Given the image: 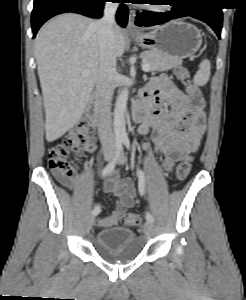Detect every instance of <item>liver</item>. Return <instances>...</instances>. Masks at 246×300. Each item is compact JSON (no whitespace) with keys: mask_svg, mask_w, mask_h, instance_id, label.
<instances>
[{"mask_svg":"<svg viewBox=\"0 0 246 300\" xmlns=\"http://www.w3.org/2000/svg\"><path fill=\"white\" fill-rule=\"evenodd\" d=\"M114 56L125 50L123 30L115 25ZM35 58L45 108L46 140L53 142L81 119L101 65L96 21L74 13L57 16L35 39ZM84 71L88 75L83 76Z\"/></svg>","mask_w":246,"mask_h":300,"instance_id":"liver-1","label":"liver"}]
</instances>
